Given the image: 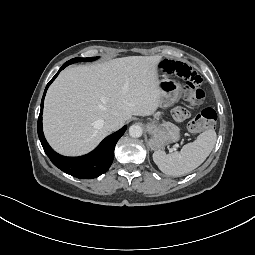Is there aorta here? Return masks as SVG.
Wrapping results in <instances>:
<instances>
[{
    "label": "aorta",
    "instance_id": "1",
    "mask_svg": "<svg viewBox=\"0 0 255 255\" xmlns=\"http://www.w3.org/2000/svg\"><path fill=\"white\" fill-rule=\"evenodd\" d=\"M142 133H143V130L141 126L137 124L131 125L129 128V134L131 137L139 138L142 136Z\"/></svg>",
    "mask_w": 255,
    "mask_h": 255
}]
</instances>
